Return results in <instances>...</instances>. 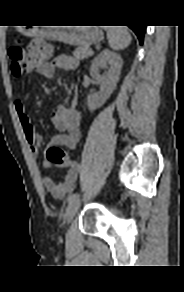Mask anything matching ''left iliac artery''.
Segmentation results:
<instances>
[{
    "instance_id": "obj_1",
    "label": "left iliac artery",
    "mask_w": 184,
    "mask_h": 292,
    "mask_svg": "<svg viewBox=\"0 0 184 292\" xmlns=\"http://www.w3.org/2000/svg\"><path fill=\"white\" fill-rule=\"evenodd\" d=\"M79 198H80V194L75 193V194L70 195V196L67 198V201H68V203L70 204V203L73 202V201L79 200Z\"/></svg>"
}]
</instances>
